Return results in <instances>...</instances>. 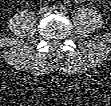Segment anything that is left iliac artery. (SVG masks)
I'll return each instance as SVG.
<instances>
[{
    "label": "left iliac artery",
    "instance_id": "obj_1",
    "mask_svg": "<svg viewBox=\"0 0 111 106\" xmlns=\"http://www.w3.org/2000/svg\"><path fill=\"white\" fill-rule=\"evenodd\" d=\"M60 11H61V12H66V11H67V8H66L65 6H61V7H60Z\"/></svg>",
    "mask_w": 111,
    "mask_h": 106
}]
</instances>
